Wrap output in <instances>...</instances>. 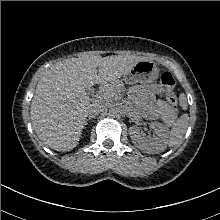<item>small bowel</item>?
<instances>
[{"instance_id": "c3829d8e", "label": "small bowel", "mask_w": 220, "mask_h": 220, "mask_svg": "<svg viewBox=\"0 0 220 220\" xmlns=\"http://www.w3.org/2000/svg\"><path fill=\"white\" fill-rule=\"evenodd\" d=\"M142 91L148 97H153L154 95L163 92L162 88L157 84H153V85L144 87V88H142Z\"/></svg>"}]
</instances>
